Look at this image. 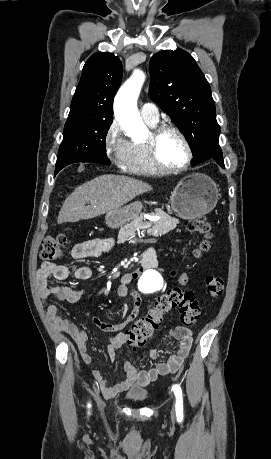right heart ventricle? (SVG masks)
<instances>
[{
	"label": "right heart ventricle",
	"mask_w": 271,
	"mask_h": 459,
	"mask_svg": "<svg viewBox=\"0 0 271 459\" xmlns=\"http://www.w3.org/2000/svg\"><path fill=\"white\" fill-rule=\"evenodd\" d=\"M147 123L151 127L156 126V124ZM123 169L138 175H148L158 171L151 159L146 141L133 140L129 142Z\"/></svg>",
	"instance_id": "e07e8e85"
}]
</instances>
